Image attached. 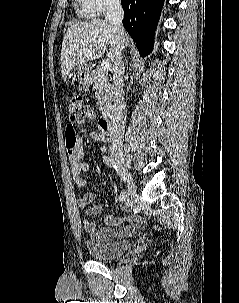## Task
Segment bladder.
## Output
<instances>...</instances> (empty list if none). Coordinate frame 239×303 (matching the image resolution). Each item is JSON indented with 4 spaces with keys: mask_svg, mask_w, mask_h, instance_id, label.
<instances>
[{
    "mask_svg": "<svg viewBox=\"0 0 239 303\" xmlns=\"http://www.w3.org/2000/svg\"><path fill=\"white\" fill-rule=\"evenodd\" d=\"M129 240H115L109 242L86 241V248L94 260H110L121 257L129 248Z\"/></svg>",
    "mask_w": 239,
    "mask_h": 303,
    "instance_id": "31cf9c89",
    "label": "bladder"
}]
</instances>
